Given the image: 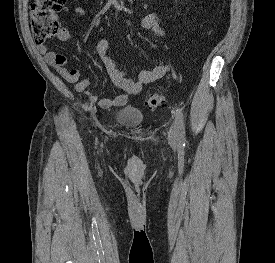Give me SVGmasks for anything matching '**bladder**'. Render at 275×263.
<instances>
[{
  "label": "bladder",
  "instance_id": "obj_1",
  "mask_svg": "<svg viewBox=\"0 0 275 263\" xmlns=\"http://www.w3.org/2000/svg\"><path fill=\"white\" fill-rule=\"evenodd\" d=\"M116 120L128 127H136L143 123V113L134 106L127 105L118 110Z\"/></svg>",
  "mask_w": 275,
  "mask_h": 263
}]
</instances>
